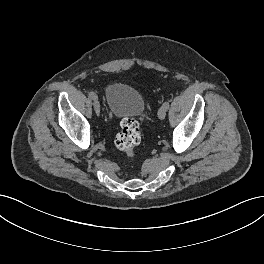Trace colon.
<instances>
[{"instance_id":"obj_1","label":"colon","mask_w":264,"mask_h":264,"mask_svg":"<svg viewBox=\"0 0 264 264\" xmlns=\"http://www.w3.org/2000/svg\"><path fill=\"white\" fill-rule=\"evenodd\" d=\"M140 140L141 130L139 122L133 117L123 119L120 122V131L115 138L116 146L128 157L132 158Z\"/></svg>"}]
</instances>
